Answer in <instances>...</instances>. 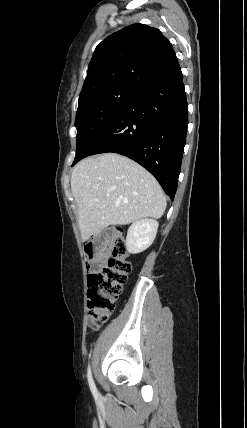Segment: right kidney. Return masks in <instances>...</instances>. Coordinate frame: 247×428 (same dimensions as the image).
Wrapping results in <instances>:
<instances>
[{"label":"right kidney","mask_w":247,"mask_h":428,"mask_svg":"<svg viewBox=\"0 0 247 428\" xmlns=\"http://www.w3.org/2000/svg\"><path fill=\"white\" fill-rule=\"evenodd\" d=\"M158 222L153 219H141L133 223L127 232V251L136 254L146 250L154 241Z\"/></svg>","instance_id":"ca27d5eb"}]
</instances>
